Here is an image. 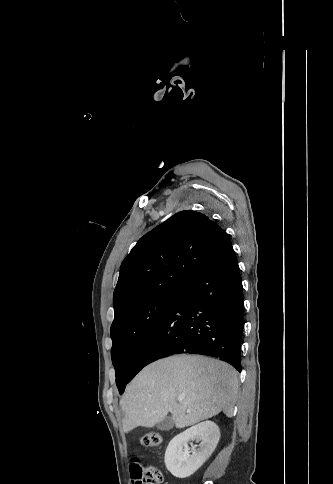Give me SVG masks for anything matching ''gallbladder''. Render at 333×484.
Instances as JSON below:
<instances>
[{
    "mask_svg": "<svg viewBox=\"0 0 333 484\" xmlns=\"http://www.w3.org/2000/svg\"><path fill=\"white\" fill-rule=\"evenodd\" d=\"M174 426V421L171 417L167 416L162 421L158 422L156 427L161 431H169Z\"/></svg>",
    "mask_w": 333,
    "mask_h": 484,
    "instance_id": "1",
    "label": "gallbladder"
}]
</instances>
